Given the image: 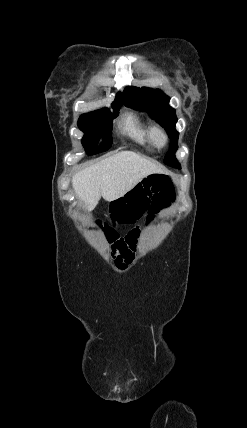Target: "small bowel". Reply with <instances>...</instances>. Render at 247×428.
<instances>
[{
    "instance_id": "small-bowel-1",
    "label": "small bowel",
    "mask_w": 247,
    "mask_h": 428,
    "mask_svg": "<svg viewBox=\"0 0 247 428\" xmlns=\"http://www.w3.org/2000/svg\"><path fill=\"white\" fill-rule=\"evenodd\" d=\"M133 250L126 254L115 255V263L119 268H125L133 260Z\"/></svg>"
}]
</instances>
